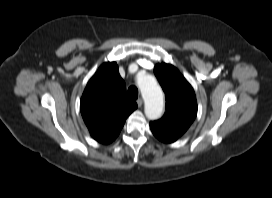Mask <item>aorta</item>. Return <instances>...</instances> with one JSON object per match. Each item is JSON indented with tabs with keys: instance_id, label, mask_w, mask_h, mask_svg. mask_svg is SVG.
<instances>
[{
	"instance_id": "aorta-1",
	"label": "aorta",
	"mask_w": 272,
	"mask_h": 198,
	"mask_svg": "<svg viewBox=\"0 0 272 198\" xmlns=\"http://www.w3.org/2000/svg\"><path fill=\"white\" fill-rule=\"evenodd\" d=\"M138 86L145 102L144 112L149 120H156L162 116L164 95L156 79L145 75L138 79Z\"/></svg>"
}]
</instances>
